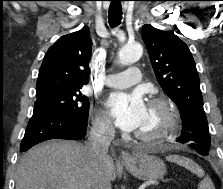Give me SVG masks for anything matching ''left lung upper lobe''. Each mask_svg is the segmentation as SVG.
Masks as SVG:
<instances>
[{
	"label": "left lung upper lobe",
	"mask_w": 223,
	"mask_h": 189,
	"mask_svg": "<svg viewBox=\"0 0 223 189\" xmlns=\"http://www.w3.org/2000/svg\"><path fill=\"white\" fill-rule=\"evenodd\" d=\"M142 39L164 92L176 103L182 118L178 142H192L193 149L208 153L211 138L203 109L200 80L188 46L174 33L144 25Z\"/></svg>",
	"instance_id": "obj_1"
}]
</instances>
